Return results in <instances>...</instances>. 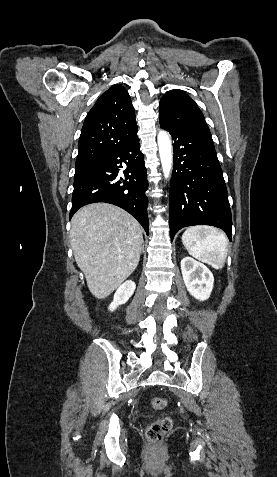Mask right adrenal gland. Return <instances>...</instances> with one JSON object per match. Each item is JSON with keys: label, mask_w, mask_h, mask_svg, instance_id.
Instances as JSON below:
<instances>
[{"label": "right adrenal gland", "mask_w": 277, "mask_h": 477, "mask_svg": "<svg viewBox=\"0 0 277 477\" xmlns=\"http://www.w3.org/2000/svg\"><path fill=\"white\" fill-rule=\"evenodd\" d=\"M141 253H144V245L142 246Z\"/></svg>", "instance_id": "right-adrenal-gland-1"}]
</instances>
